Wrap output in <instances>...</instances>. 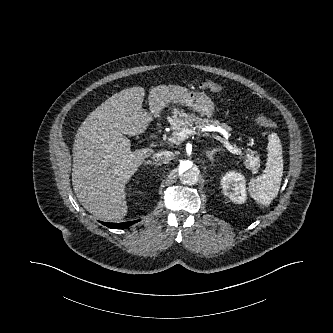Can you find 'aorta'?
Listing matches in <instances>:
<instances>
[{
    "mask_svg": "<svg viewBox=\"0 0 333 333\" xmlns=\"http://www.w3.org/2000/svg\"><path fill=\"white\" fill-rule=\"evenodd\" d=\"M176 170L182 183L188 185H193L197 183L200 171L199 168L191 160H179L176 164Z\"/></svg>",
    "mask_w": 333,
    "mask_h": 333,
    "instance_id": "aorta-1",
    "label": "aorta"
}]
</instances>
